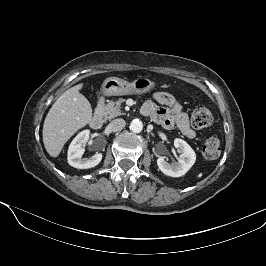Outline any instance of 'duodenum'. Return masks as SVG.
I'll use <instances>...</instances> for the list:
<instances>
[{
    "label": "duodenum",
    "instance_id": "410a0bca",
    "mask_svg": "<svg viewBox=\"0 0 266 266\" xmlns=\"http://www.w3.org/2000/svg\"><path fill=\"white\" fill-rule=\"evenodd\" d=\"M103 99L104 98L102 95L98 96L96 111L89 121V124L93 129H99L102 126L103 118L101 114V106L103 103Z\"/></svg>",
    "mask_w": 266,
    "mask_h": 266
}]
</instances>
